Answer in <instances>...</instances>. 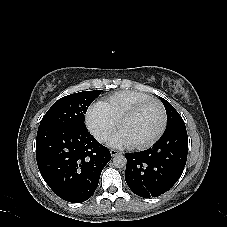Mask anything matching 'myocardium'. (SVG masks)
Listing matches in <instances>:
<instances>
[{"instance_id": "myocardium-1", "label": "myocardium", "mask_w": 227, "mask_h": 227, "mask_svg": "<svg viewBox=\"0 0 227 227\" xmlns=\"http://www.w3.org/2000/svg\"><path fill=\"white\" fill-rule=\"evenodd\" d=\"M151 102L158 104V106L161 109V113H162L161 126L157 131V133L147 142L140 143V144H132V147L135 149H139V150L148 149L153 145H155L161 139V137L166 131L167 123H168V115H167V110L165 105L159 99L149 97L148 99L135 104L131 109H129L125 114H123L117 121V129L118 131H120L122 126L128 121H130L131 119H133L143 106Z\"/></svg>"}]
</instances>
